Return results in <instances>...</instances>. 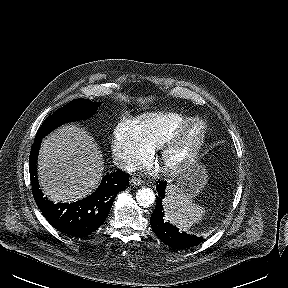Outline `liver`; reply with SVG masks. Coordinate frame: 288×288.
Instances as JSON below:
<instances>
[{"mask_svg":"<svg viewBox=\"0 0 288 288\" xmlns=\"http://www.w3.org/2000/svg\"><path fill=\"white\" fill-rule=\"evenodd\" d=\"M93 138L75 125H65L44 139L39 152V183L55 203L74 202L91 194L104 170Z\"/></svg>","mask_w":288,"mask_h":288,"instance_id":"6515ba94","label":"liver"}]
</instances>
